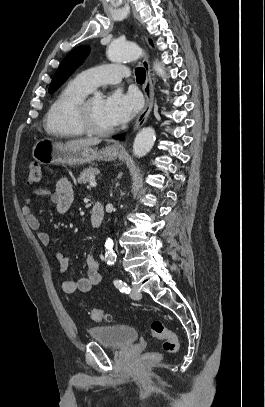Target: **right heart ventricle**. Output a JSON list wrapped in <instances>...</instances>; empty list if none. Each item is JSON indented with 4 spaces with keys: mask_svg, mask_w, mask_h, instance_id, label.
Wrapping results in <instances>:
<instances>
[{
    "mask_svg": "<svg viewBox=\"0 0 265 407\" xmlns=\"http://www.w3.org/2000/svg\"><path fill=\"white\" fill-rule=\"evenodd\" d=\"M91 90L77 78L69 81L52 101L44 121L46 132L57 138H80L85 135L73 118L75 105L83 100Z\"/></svg>",
    "mask_w": 265,
    "mask_h": 407,
    "instance_id": "obj_1",
    "label": "right heart ventricle"
}]
</instances>
